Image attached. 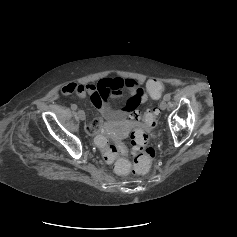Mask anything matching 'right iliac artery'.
Instances as JSON below:
<instances>
[{
	"instance_id": "right-iliac-artery-1",
	"label": "right iliac artery",
	"mask_w": 237,
	"mask_h": 237,
	"mask_svg": "<svg viewBox=\"0 0 237 237\" xmlns=\"http://www.w3.org/2000/svg\"><path fill=\"white\" fill-rule=\"evenodd\" d=\"M71 109H72V110H77V105H76V104H72V105H71Z\"/></svg>"
}]
</instances>
